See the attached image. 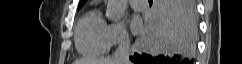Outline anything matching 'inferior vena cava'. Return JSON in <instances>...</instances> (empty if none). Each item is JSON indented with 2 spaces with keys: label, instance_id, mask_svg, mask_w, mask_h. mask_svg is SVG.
<instances>
[{
  "label": "inferior vena cava",
  "instance_id": "1",
  "mask_svg": "<svg viewBox=\"0 0 242 64\" xmlns=\"http://www.w3.org/2000/svg\"><path fill=\"white\" fill-rule=\"evenodd\" d=\"M129 50L130 40L127 35H124L112 57L115 64H130Z\"/></svg>",
  "mask_w": 242,
  "mask_h": 64
}]
</instances>
